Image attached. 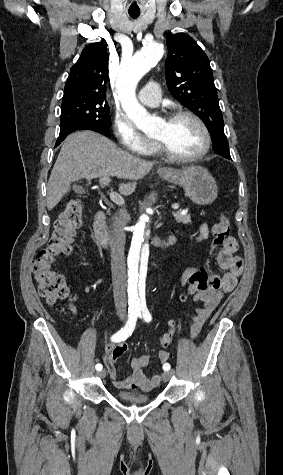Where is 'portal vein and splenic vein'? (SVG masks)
<instances>
[{
  "instance_id": "18ae733b",
  "label": "portal vein and splenic vein",
  "mask_w": 283,
  "mask_h": 475,
  "mask_svg": "<svg viewBox=\"0 0 283 475\" xmlns=\"http://www.w3.org/2000/svg\"><path fill=\"white\" fill-rule=\"evenodd\" d=\"M109 182H110V178H108V176H103V178H101L100 180V184L101 186H103V188H105V186H107ZM109 196L112 202H115V204H119V202H122V196H120V194H116V192H110ZM172 208L173 210H178L180 206L179 204H172Z\"/></svg>"
}]
</instances>
